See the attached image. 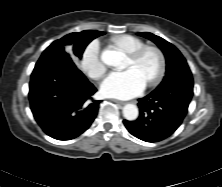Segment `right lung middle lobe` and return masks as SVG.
Returning a JSON list of instances; mask_svg holds the SVG:
<instances>
[{
    "label": "right lung middle lobe",
    "instance_id": "obj_1",
    "mask_svg": "<svg viewBox=\"0 0 222 187\" xmlns=\"http://www.w3.org/2000/svg\"><path fill=\"white\" fill-rule=\"evenodd\" d=\"M104 32L95 30H85L82 32H74L54 41L46 50L58 51L66 53L67 50L71 54L81 58L85 47L96 37L103 35ZM67 54V53H66ZM69 56V54H67Z\"/></svg>",
    "mask_w": 222,
    "mask_h": 187
}]
</instances>
